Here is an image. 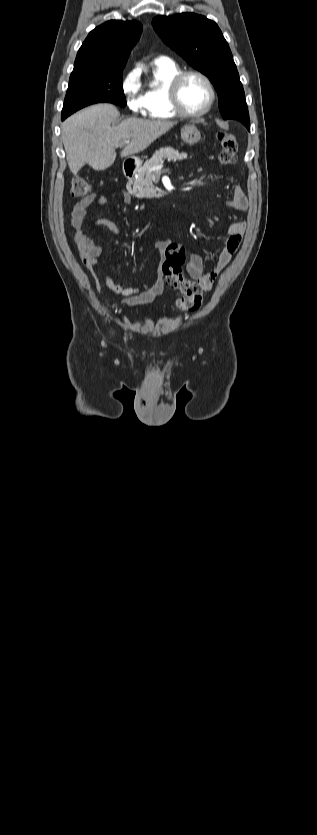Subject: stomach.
<instances>
[{
    "instance_id": "obj_1",
    "label": "stomach",
    "mask_w": 317,
    "mask_h": 835,
    "mask_svg": "<svg viewBox=\"0 0 317 835\" xmlns=\"http://www.w3.org/2000/svg\"><path fill=\"white\" fill-rule=\"evenodd\" d=\"M181 138L186 144L194 145L200 141L201 134L195 125L187 124L181 128Z\"/></svg>"
}]
</instances>
